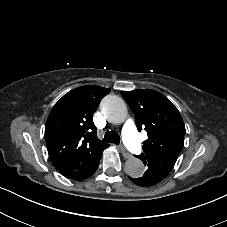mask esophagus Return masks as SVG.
Masks as SVG:
<instances>
[{
  "mask_svg": "<svg viewBox=\"0 0 227 227\" xmlns=\"http://www.w3.org/2000/svg\"><path fill=\"white\" fill-rule=\"evenodd\" d=\"M119 150L121 151L122 155L126 158L129 159L132 157V154L123 146H119Z\"/></svg>",
  "mask_w": 227,
  "mask_h": 227,
  "instance_id": "esophagus-1",
  "label": "esophagus"
}]
</instances>
